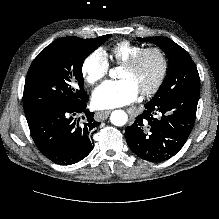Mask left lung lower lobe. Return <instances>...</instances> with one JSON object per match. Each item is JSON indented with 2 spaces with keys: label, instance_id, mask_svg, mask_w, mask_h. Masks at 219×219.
Masks as SVG:
<instances>
[{
  "label": "left lung lower lobe",
  "instance_id": "left-lung-lower-lobe-1",
  "mask_svg": "<svg viewBox=\"0 0 219 219\" xmlns=\"http://www.w3.org/2000/svg\"><path fill=\"white\" fill-rule=\"evenodd\" d=\"M199 92L177 95L164 102L149 101L125 131L129 148L139 157L160 162L174 156L190 135Z\"/></svg>",
  "mask_w": 219,
  "mask_h": 219
}]
</instances>
